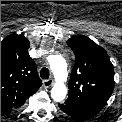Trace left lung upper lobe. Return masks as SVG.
<instances>
[{"label":"left lung upper lobe","mask_w":122,"mask_h":122,"mask_svg":"<svg viewBox=\"0 0 122 122\" xmlns=\"http://www.w3.org/2000/svg\"><path fill=\"white\" fill-rule=\"evenodd\" d=\"M75 54L65 105L95 116L114 89V69L106 51L86 36L67 41Z\"/></svg>","instance_id":"5c2ea615"}]
</instances>
